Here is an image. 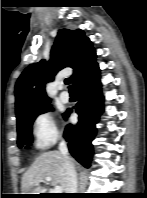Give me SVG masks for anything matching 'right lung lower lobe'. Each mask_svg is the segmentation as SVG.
I'll return each instance as SVG.
<instances>
[{"instance_id":"1","label":"right lung lower lobe","mask_w":147,"mask_h":198,"mask_svg":"<svg viewBox=\"0 0 147 198\" xmlns=\"http://www.w3.org/2000/svg\"><path fill=\"white\" fill-rule=\"evenodd\" d=\"M100 70L98 64L76 84L78 103L75 111L79 115L76 125L66 126L64 137L69 142V151L76 160L88 168L92 161V141L96 135L95 124L103 112V96L100 86ZM72 109H68L65 118L69 116Z\"/></svg>"}]
</instances>
